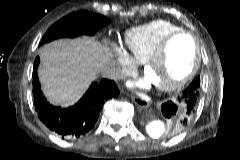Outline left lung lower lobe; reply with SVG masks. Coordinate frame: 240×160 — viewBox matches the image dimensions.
<instances>
[{
  "instance_id": "obj_1",
  "label": "left lung lower lobe",
  "mask_w": 240,
  "mask_h": 160,
  "mask_svg": "<svg viewBox=\"0 0 240 160\" xmlns=\"http://www.w3.org/2000/svg\"><path fill=\"white\" fill-rule=\"evenodd\" d=\"M199 100V91L193 90L192 86H189L184 90L181 97H178L177 101H167L162 104L161 110L165 117L171 119L172 129H175V125L178 122L188 124V120L191 119L196 111Z\"/></svg>"
}]
</instances>
